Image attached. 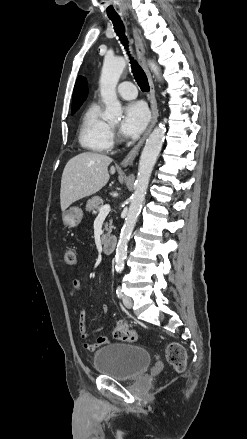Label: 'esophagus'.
Masks as SVG:
<instances>
[{
  "label": "esophagus",
  "mask_w": 247,
  "mask_h": 439,
  "mask_svg": "<svg viewBox=\"0 0 247 439\" xmlns=\"http://www.w3.org/2000/svg\"><path fill=\"white\" fill-rule=\"evenodd\" d=\"M132 30H133V37H134L137 55H138L140 64H141V66H142L143 70L145 71L147 78H148V83H149V87H150L149 98H150L152 117H151L150 124H149L147 130L145 131L144 135L142 136V138L133 147V149L127 154V156L121 161L122 167H127L133 163V161L137 157L142 145L144 144V141L146 140V138L148 137V135L152 131L154 125L156 124L157 118H158V107H157V101H156V96H155V87H154L151 73H150L149 68L147 66V63H146L144 43H143L142 38L138 32V29L133 26Z\"/></svg>",
  "instance_id": "34e87169"
}]
</instances>
